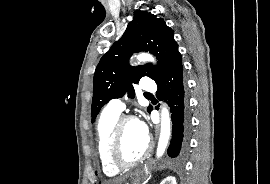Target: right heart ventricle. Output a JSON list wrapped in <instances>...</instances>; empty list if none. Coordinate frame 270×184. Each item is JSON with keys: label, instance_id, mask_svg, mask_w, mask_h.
Returning a JSON list of instances; mask_svg holds the SVG:
<instances>
[{"label": "right heart ventricle", "instance_id": "right-heart-ventricle-1", "mask_svg": "<svg viewBox=\"0 0 270 184\" xmlns=\"http://www.w3.org/2000/svg\"><path fill=\"white\" fill-rule=\"evenodd\" d=\"M120 117V113L106 108L101 113L97 123L98 155L102 170L106 176L112 177L120 172L109 160V144L113 128Z\"/></svg>", "mask_w": 270, "mask_h": 184}]
</instances>
